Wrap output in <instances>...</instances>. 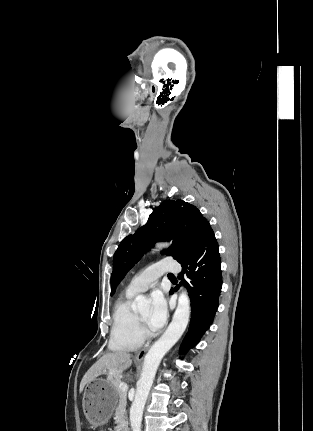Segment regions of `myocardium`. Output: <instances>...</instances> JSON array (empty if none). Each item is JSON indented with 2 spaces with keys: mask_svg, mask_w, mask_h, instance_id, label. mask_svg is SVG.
<instances>
[{
  "mask_svg": "<svg viewBox=\"0 0 313 431\" xmlns=\"http://www.w3.org/2000/svg\"><path fill=\"white\" fill-rule=\"evenodd\" d=\"M137 322H138L139 331H140L141 336H142L143 338H144V337H148V336H149V332H148V330H147V328H146V324H145V322L143 321V319L140 317V315H139V314H137Z\"/></svg>",
  "mask_w": 313,
  "mask_h": 431,
  "instance_id": "1",
  "label": "myocardium"
}]
</instances>
